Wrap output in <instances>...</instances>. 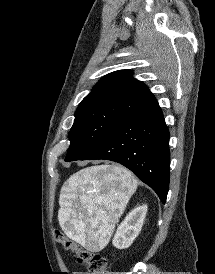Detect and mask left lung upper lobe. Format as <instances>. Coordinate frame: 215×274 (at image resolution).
Masks as SVG:
<instances>
[{
	"mask_svg": "<svg viewBox=\"0 0 215 274\" xmlns=\"http://www.w3.org/2000/svg\"><path fill=\"white\" fill-rule=\"evenodd\" d=\"M155 101L148 87L133 78L130 70L104 76L75 112L65 161L81 159L124 120Z\"/></svg>",
	"mask_w": 215,
	"mask_h": 274,
	"instance_id": "5c2ea615",
	"label": "left lung upper lobe"
}]
</instances>
